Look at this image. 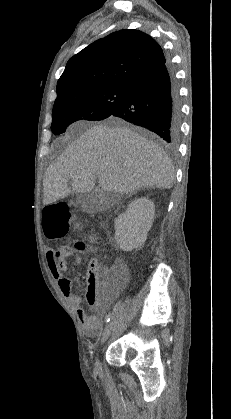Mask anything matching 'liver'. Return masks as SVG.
I'll return each instance as SVG.
<instances>
[{
  "label": "liver",
  "instance_id": "obj_1",
  "mask_svg": "<svg viewBox=\"0 0 231 419\" xmlns=\"http://www.w3.org/2000/svg\"><path fill=\"white\" fill-rule=\"evenodd\" d=\"M97 178L104 191L119 194L141 188H170L173 167L164 150L145 136L125 126L95 125L48 167L43 204H52L71 190L88 193Z\"/></svg>",
  "mask_w": 231,
  "mask_h": 419
}]
</instances>
